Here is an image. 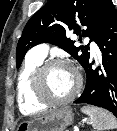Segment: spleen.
I'll list each match as a JSON object with an SVG mask.
<instances>
[{
  "label": "spleen",
  "instance_id": "obj_1",
  "mask_svg": "<svg viewBox=\"0 0 117 131\" xmlns=\"http://www.w3.org/2000/svg\"><path fill=\"white\" fill-rule=\"evenodd\" d=\"M81 111L89 117L88 123L96 131L117 129V119L109 111L94 106H84Z\"/></svg>",
  "mask_w": 117,
  "mask_h": 131
}]
</instances>
